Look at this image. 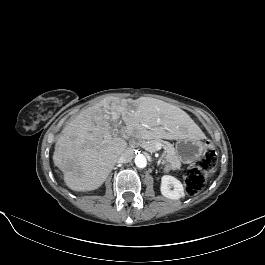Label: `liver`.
<instances>
[{"label": "liver", "instance_id": "1", "mask_svg": "<svg viewBox=\"0 0 265 265\" xmlns=\"http://www.w3.org/2000/svg\"><path fill=\"white\" fill-rule=\"evenodd\" d=\"M120 116L127 128L138 126L147 138L203 136L190 116L174 105L154 98H139L131 105L130 100L107 97L77 115L55 143L54 164L71 190H95L108 177L127 147L112 129Z\"/></svg>", "mask_w": 265, "mask_h": 265}]
</instances>
